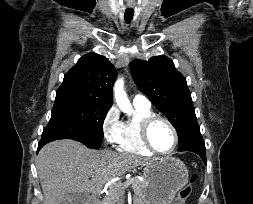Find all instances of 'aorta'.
I'll return each instance as SVG.
<instances>
[{
  "label": "aorta",
  "mask_w": 253,
  "mask_h": 204,
  "mask_svg": "<svg viewBox=\"0 0 253 204\" xmlns=\"http://www.w3.org/2000/svg\"><path fill=\"white\" fill-rule=\"evenodd\" d=\"M114 97L118 107L128 115H131L133 110L127 94L124 91L123 79H117L114 85Z\"/></svg>",
  "instance_id": "762f6f07"
}]
</instances>
